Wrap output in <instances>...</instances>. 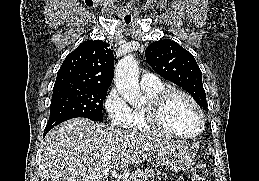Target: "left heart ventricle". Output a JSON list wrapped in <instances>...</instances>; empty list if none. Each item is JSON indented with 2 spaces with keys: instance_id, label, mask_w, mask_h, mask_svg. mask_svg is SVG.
I'll return each instance as SVG.
<instances>
[{
  "instance_id": "left-heart-ventricle-1",
  "label": "left heart ventricle",
  "mask_w": 259,
  "mask_h": 181,
  "mask_svg": "<svg viewBox=\"0 0 259 181\" xmlns=\"http://www.w3.org/2000/svg\"><path fill=\"white\" fill-rule=\"evenodd\" d=\"M163 120L168 128L180 134H194L200 127L195 108L181 96H174L169 100Z\"/></svg>"
}]
</instances>
